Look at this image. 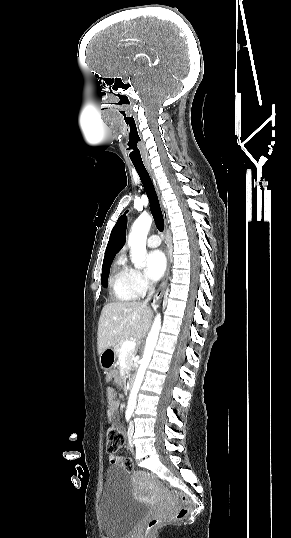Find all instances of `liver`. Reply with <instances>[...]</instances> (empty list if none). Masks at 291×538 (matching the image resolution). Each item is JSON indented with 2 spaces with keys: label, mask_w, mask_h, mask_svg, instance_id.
Segmentation results:
<instances>
[{
  "label": "liver",
  "mask_w": 291,
  "mask_h": 538,
  "mask_svg": "<svg viewBox=\"0 0 291 538\" xmlns=\"http://www.w3.org/2000/svg\"><path fill=\"white\" fill-rule=\"evenodd\" d=\"M151 318V309L142 302L107 303L99 318L98 354L128 337L142 339L149 330Z\"/></svg>",
  "instance_id": "liver-1"
}]
</instances>
